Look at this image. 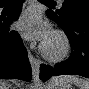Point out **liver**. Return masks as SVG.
<instances>
[{
	"instance_id": "6515ba94",
	"label": "liver",
	"mask_w": 89,
	"mask_h": 89,
	"mask_svg": "<svg viewBox=\"0 0 89 89\" xmlns=\"http://www.w3.org/2000/svg\"><path fill=\"white\" fill-rule=\"evenodd\" d=\"M2 87H5V86H2ZM2 89H8V88H2Z\"/></svg>"
}]
</instances>
